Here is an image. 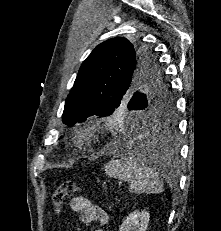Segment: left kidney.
Masks as SVG:
<instances>
[{"label": "left kidney", "instance_id": "left-kidney-1", "mask_svg": "<svg viewBox=\"0 0 221 231\" xmlns=\"http://www.w3.org/2000/svg\"><path fill=\"white\" fill-rule=\"evenodd\" d=\"M150 220V214L147 211H135L129 214L123 221L119 231H146Z\"/></svg>", "mask_w": 221, "mask_h": 231}]
</instances>
